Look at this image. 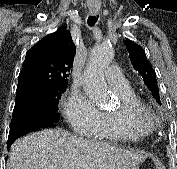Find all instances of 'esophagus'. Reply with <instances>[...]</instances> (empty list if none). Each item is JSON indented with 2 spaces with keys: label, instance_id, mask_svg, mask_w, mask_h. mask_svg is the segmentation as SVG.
I'll return each mask as SVG.
<instances>
[{
  "label": "esophagus",
  "instance_id": "34e87169",
  "mask_svg": "<svg viewBox=\"0 0 177 169\" xmlns=\"http://www.w3.org/2000/svg\"><path fill=\"white\" fill-rule=\"evenodd\" d=\"M99 9H100V5H95V6L89 7L90 14H92V15L98 14Z\"/></svg>",
  "mask_w": 177,
  "mask_h": 169
}]
</instances>
